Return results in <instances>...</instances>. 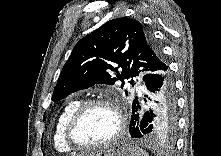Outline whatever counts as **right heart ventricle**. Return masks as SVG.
I'll use <instances>...</instances> for the list:
<instances>
[{"label":"right heart ventricle","mask_w":221,"mask_h":156,"mask_svg":"<svg viewBox=\"0 0 221 156\" xmlns=\"http://www.w3.org/2000/svg\"><path fill=\"white\" fill-rule=\"evenodd\" d=\"M83 103V100L81 99H74L69 101L64 108L59 113L54 130H53V144L55 149L60 153H69L73 149L69 147L65 140H64V127L66 124V121L68 120L69 116L72 114V112Z\"/></svg>","instance_id":"right-heart-ventricle-1"}]
</instances>
